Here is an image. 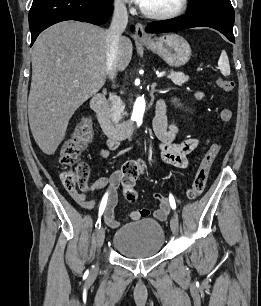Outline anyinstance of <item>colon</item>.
I'll return each mask as SVG.
<instances>
[{"label": "colon", "instance_id": "obj_1", "mask_svg": "<svg viewBox=\"0 0 261 306\" xmlns=\"http://www.w3.org/2000/svg\"><path fill=\"white\" fill-rule=\"evenodd\" d=\"M217 84L226 92H231L235 87L234 81L230 79H219ZM220 119L225 123H229L232 119L231 110L222 109ZM92 136L93 130L90 122L83 119L78 123L73 135L61 147L60 163L66 169L61 173V181L69 190L76 187L83 189L86 186L89 169L87 165L79 162V159L82 152L91 142ZM221 149V144H213L204 155L193 183L188 190L189 199H196L204 191L212 164ZM144 167L142 160H131L124 163L119 172V181L124 189V195L130 202H134L137 198L135 184L143 174Z\"/></svg>", "mask_w": 261, "mask_h": 306}]
</instances>
